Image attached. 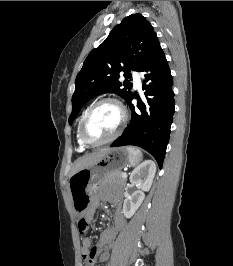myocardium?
I'll list each match as a JSON object with an SVG mask.
<instances>
[{
	"mask_svg": "<svg viewBox=\"0 0 233 266\" xmlns=\"http://www.w3.org/2000/svg\"><path fill=\"white\" fill-rule=\"evenodd\" d=\"M105 103L115 104L119 108V110L121 112V122H120L118 128L116 129V131L110 137H108L104 140H101V141H97V142L90 141L85 135L86 124H87L89 118L91 117V115L93 114V112L98 107H100L101 105H103ZM127 120H128V116H127L126 108L120 100H118L117 98H114V97L103 98V99L95 102L85 113V115H84V117L80 123V127H79V138H80L81 142L87 147H97V146H101V145L110 143V142L114 141L115 139H117L122 134V132H123V130L127 124Z\"/></svg>",
	"mask_w": 233,
	"mask_h": 266,
	"instance_id": "1",
	"label": "myocardium"
}]
</instances>
